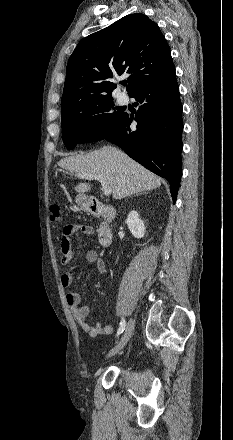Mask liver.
Wrapping results in <instances>:
<instances>
[{
	"label": "liver",
	"mask_w": 233,
	"mask_h": 440,
	"mask_svg": "<svg viewBox=\"0 0 233 440\" xmlns=\"http://www.w3.org/2000/svg\"><path fill=\"white\" fill-rule=\"evenodd\" d=\"M63 169L75 173L103 177L112 188L114 199H122L138 192L156 189L161 179L113 146H103L86 155H75L61 159ZM88 183H79L75 190L85 193L91 190Z\"/></svg>",
	"instance_id": "liver-1"
}]
</instances>
